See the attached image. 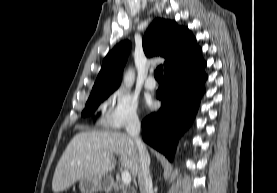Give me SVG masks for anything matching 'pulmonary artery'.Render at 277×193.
Listing matches in <instances>:
<instances>
[{
  "label": "pulmonary artery",
  "instance_id": "pulmonary-artery-1",
  "mask_svg": "<svg viewBox=\"0 0 277 193\" xmlns=\"http://www.w3.org/2000/svg\"><path fill=\"white\" fill-rule=\"evenodd\" d=\"M145 88L148 90H154L156 88V81L153 76H149L145 81Z\"/></svg>",
  "mask_w": 277,
  "mask_h": 193
}]
</instances>
